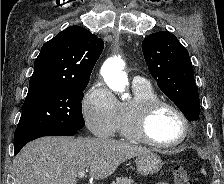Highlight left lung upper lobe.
Masks as SVG:
<instances>
[{
	"instance_id": "5c2ea615",
	"label": "left lung upper lobe",
	"mask_w": 224,
	"mask_h": 184,
	"mask_svg": "<svg viewBox=\"0 0 224 184\" xmlns=\"http://www.w3.org/2000/svg\"><path fill=\"white\" fill-rule=\"evenodd\" d=\"M142 51L153 78L189 121L198 120L200 102L187 49L175 35L160 31L147 36Z\"/></svg>"
}]
</instances>
